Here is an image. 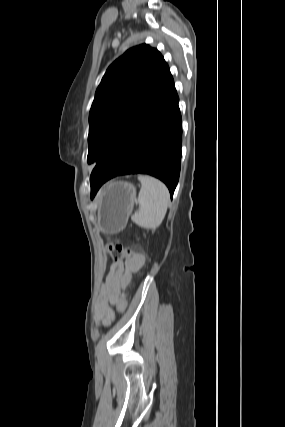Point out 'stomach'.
Wrapping results in <instances>:
<instances>
[{
    "label": "stomach",
    "mask_w": 285,
    "mask_h": 427,
    "mask_svg": "<svg viewBox=\"0 0 285 427\" xmlns=\"http://www.w3.org/2000/svg\"><path fill=\"white\" fill-rule=\"evenodd\" d=\"M136 200L134 185L110 182L97 197L98 226L103 233L116 234L124 229Z\"/></svg>",
    "instance_id": "0dacf381"
}]
</instances>
